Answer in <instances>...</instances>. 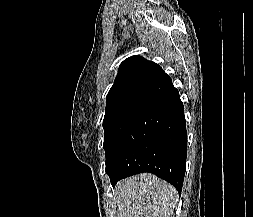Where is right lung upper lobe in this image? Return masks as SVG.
I'll list each match as a JSON object with an SVG mask.
<instances>
[{
    "label": "right lung upper lobe",
    "instance_id": "right-lung-upper-lobe-1",
    "mask_svg": "<svg viewBox=\"0 0 253 217\" xmlns=\"http://www.w3.org/2000/svg\"><path fill=\"white\" fill-rule=\"evenodd\" d=\"M171 78L162 68L140 56L124 60L111 87L107 107L128 100L152 102L172 87Z\"/></svg>",
    "mask_w": 253,
    "mask_h": 217
}]
</instances>
